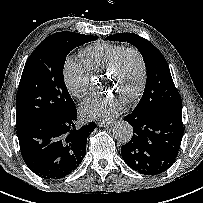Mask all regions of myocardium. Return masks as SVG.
I'll return each mask as SVG.
<instances>
[{
  "label": "myocardium",
  "instance_id": "myocardium-1",
  "mask_svg": "<svg viewBox=\"0 0 203 203\" xmlns=\"http://www.w3.org/2000/svg\"><path fill=\"white\" fill-rule=\"evenodd\" d=\"M129 54H134L137 57L141 68L140 80L135 91L125 99L126 102L131 103L137 100L142 95L147 81V64L141 51L136 47L123 48L114 58L110 66L105 70V73L107 75L114 74L121 66L125 57Z\"/></svg>",
  "mask_w": 203,
  "mask_h": 203
}]
</instances>
